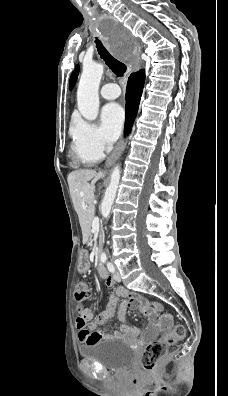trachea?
Wrapping results in <instances>:
<instances>
[{
    "label": "trachea",
    "mask_w": 228,
    "mask_h": 396,
    "mask_svg": "<svg viewBox=\"0 0 228 396\" xmlns=\"http://www.w3.org/2000/svg\"><path fill=\"white\" fill-rule=\"evenodd\" d=\"M95 43L100 57L105 61L107 66L118 77H123L126 73V65L115 59L103 46L100 40L96 39Z\"/></svg>",
    "instance_id": "obj_1"
}]
</instances>
